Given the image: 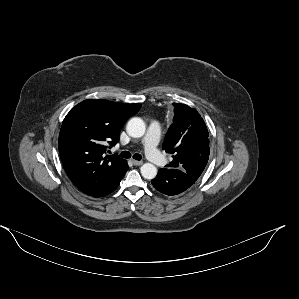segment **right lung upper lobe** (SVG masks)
<instances>
[{
  "label": "right lung upper lobe",
  "instance_id": "cb5924a9",
  "mask_svg": "<svg viewBox=\"0 0 299 299\" xmlns=\"http://www.w3.org/2000/svg\"><path fill=\"white\" fill-rule=\"evenodd\" d=\"M140 107L87 99L66 115L59 134L60 157L68 177L82 192L101 197L114 184L126 160L105 156V144L119 141L123 125Z\"/></svg>",
  "mask_w": 299,
  "mask_h": 299
}]
</instances>
